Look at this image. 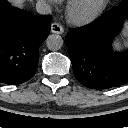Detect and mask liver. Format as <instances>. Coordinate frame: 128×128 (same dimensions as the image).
Returning a JSON list of instances; mask_svg holds the SVG:
<instances>
[{
  "instance_id": "obj_1",
  "label": "liver",
  "mask_w": 128,
  "mask_h": 128,
  "mask_svg": "<svg viewBox=\"0 0 128 128\" xmlns=\"http://www.w3.org/2000/svg\"><path fill=\"white\" fill-rule=\"evenodd\" d=\"M26 0H9V2L15 7H22Z\"/></svg>"
}]
</instances>
